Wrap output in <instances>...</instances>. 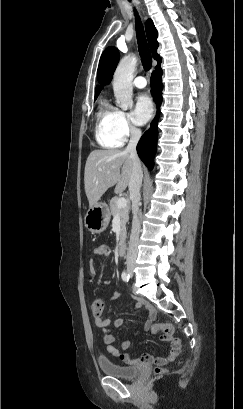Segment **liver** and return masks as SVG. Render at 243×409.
<instances>
[{
	"label": "liver",
	"mask_w": 243,
	"mask_h": 409,
	"mask_svg": "<svg viewBox=\"0 0 243 409\" xmlns=\"http://www.w3.org/2000/svg\"><path fill=\"white\" fill-rule=\"evenodd\" d=\"M132 169L133 162L126 150L92 151L87 158L84 173L89 207L96 205L110 187L116 185L114 192H123L129 185Z\"/></svg>",
	"instance_id": "1"
}]
</instances>
